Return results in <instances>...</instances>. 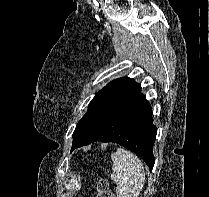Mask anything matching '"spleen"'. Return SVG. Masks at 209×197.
<instances>
[{"label":"spleen","mask_w":209,"mask_h":197,"mask_svg":"<svg viewBox=\"0 0 209 197\" xmlns=\"http://www.w3.org/2000/svg\"><path fill=\"white\" fill-rule=\"evenodd\" d=\"M111 179L116 183L117 197H138L145 183L144 167L140 159L123 148L111 155Z\"/></svg>","instance_id":"1"}]
</instances>
